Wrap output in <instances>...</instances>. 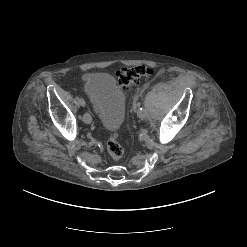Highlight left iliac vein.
Instances as JSON below:
<instances>
[{
    "mask_svg": "<svg viewBox=\"0 0 247 247\" xmlns=\"http://www.w3.org/2000/svg\"><path fill=\"white\" fill-rule=\"evenodd\" d=\"M137 114L142 120H147L149 118V114L146 111L144 113L137 112Z\"/></svg>",
    "mask_w": 247,
    "mask_h": 247,
    "instance_id": "obj_1",
    "label": "left iliac vein"
}]
</instances>
